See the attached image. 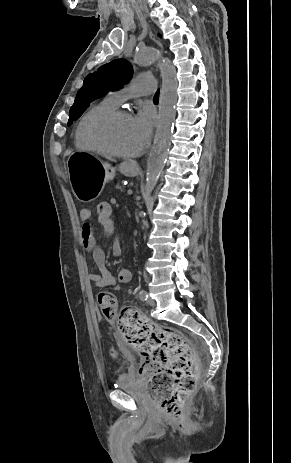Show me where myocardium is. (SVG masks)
Returning <instances> with one entry per match:
<instances>
[{
	"instance_id": "obj_1",
	"label": "myocardium",
	"mask_w": 291,
	"mask_h": 463,
	"mask_svg": "<svg viewBox=\"0 0 291 463\" xmlns=\"http://www.w3.org/2000/svg\"><path fill=\"white\" fill-rule=\"evenodd\" d=\"M125 116H130L126 110L114 109L110 112H107L102 115H98L94 117L93 119H91L85 128V138L87 142L91 146H93L95 149L101 152L116 156V157L128 159V158H135L139 156L144 149L143 145L134 152H122L116 149L114 146H112L100 134V130L104 129L105 127H107L110 123L114 122L115 120L121 117H125Z\"/></svg>"
}]
</instances>
